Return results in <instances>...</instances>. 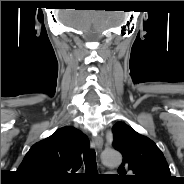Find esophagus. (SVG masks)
Listing matches in <instances>:
<instances>
[{"mask_svg":"<svg viewBox=\"0 0 184 184\" xmlns=\"http://www.w3.org/2000/svg\"><path fill=\"white\" fill-rule=\"evenodd\" d=\"M92 146L100 151L103 147V139L100 135H94L92 136Z\"/></svg>","mask_w":184,"mask_h":184,"instance_id":"esophagus-1","label":"esophagus"}]
</instances>
